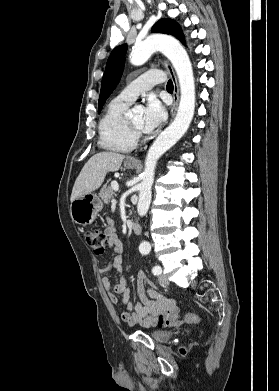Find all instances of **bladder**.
<instances>
[{
	"label": "bladder",
	"instance_id": "31cf9c89",
	"mask_svg": "<svg viewBox=\"0 0 279 391\" xmlns=\"http://www.w3.org/2000/svg\"><path fill=\"white\" fill-rule=\"evenodd\" d=\"M150 336L154 341L163 343L171 339V337L173 336V332L166 331V330H159V331L152 332Z\"/></svg>",
	"mask_w": 279,
	"mask_h": 391
}]
</instances>
